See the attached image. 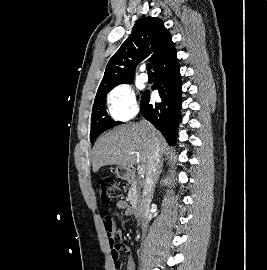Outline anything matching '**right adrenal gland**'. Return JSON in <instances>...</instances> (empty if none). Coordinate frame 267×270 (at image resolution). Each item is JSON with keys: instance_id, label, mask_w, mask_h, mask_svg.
I'll list each match as a JSON object with an SVG mask.
<instances>
[{"instance_id": "obj_1", "label": "right adrenal gland", "mask_w": 267, "mask_h": 270, "mask_svg": "<svg viewBox=\"0 0 267 270\" xmlns=\"http://www.w3.org/2000/svg\"><path fill=\"white\" fill-rule=\"evenodd\" d=\"M163 163H164V161H162L161 163H160V167H159V175L162 173V171H163Z\"/></svg>"}]
</instances>
